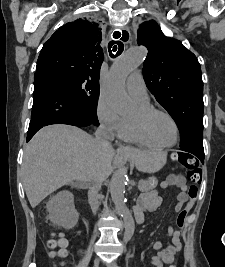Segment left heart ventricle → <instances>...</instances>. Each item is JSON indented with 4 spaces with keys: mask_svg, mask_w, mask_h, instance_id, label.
Returning a JSON list of instances; mask_svg holds the SVG:
<instances>
[{
    "mask_svg": "<svg viewBox=\"0 0 225 267\" xmlns=\"http://www.w3.org/2000/svg\"><path fill=\"white\" fill-rule=\"evenodd\" d=\"M151 134L159 144H171L176 137L172 121L161 114L154 115L149 123Z\"/></svg>",
    "mask_w": 225,
    "mask_h": 267,
    "instance_id": "left-heart-ventricle-1",
    "label": "left heart ventricle"
}]
</instances>
